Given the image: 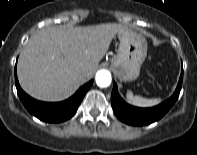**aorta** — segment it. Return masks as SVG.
I'll list each match as a JSON object with an SVG mask.
<instances>
[{"label": "aorta", "mask_w": 197, "mask_h": 155, "mask_svg": "<svg viewBox=\"0 0 197 155\" xmlns=\"http://www.w3.org/2000/svg\"><path fill=\"white\" fill-rule=\"evenodd\" d=\"M95 80L99 87H108L112 81L111 73L108 70H99L96 73Z\"/></svg>", "instance_id": "762f6f07"}]
</instances>
